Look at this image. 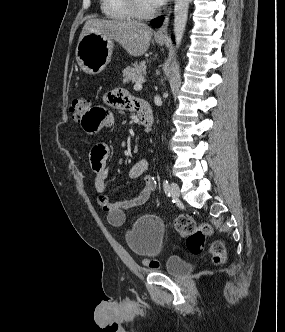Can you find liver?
<instances>
[{
    "mask_svg": "<svg viewBox=\"0 0 285 332\" xmlns=\"http://www.w3.org/2000/svg\"><path fill=\"white\" fill-rule=\"evenodd\" d=\"M90 32L119 42L129 55L135 57L148 50L153 35V29L144 23L97 18L86 21L79 40Z\"/></svg>",
    "mask_w": 285,
    "mask_h": 332,
    "instance_id": "obj_1",
    "label": "liver"
}]
</instances>
